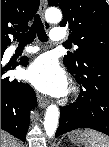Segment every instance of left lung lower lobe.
<instances>
[{
	"label": "left lung lower lobe",
	"instance_id": "1",
	"mask_svg": "<svg viewBox=\"0 0 109 147\" xmlns=\"http://www.w3.org/2000/svg\"><path fill=\"white\" fill-rule=\"evenodd\" d=\"M71 73L84 90L76 102L60 108L56 137L78 128H91L109 136V57L88 54L80 69Z\"/></svg>",
	"mask_w": 109,
	"mask_h": 147
}]
</instances>
